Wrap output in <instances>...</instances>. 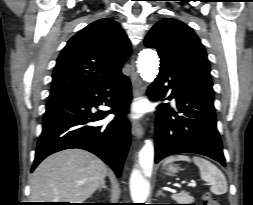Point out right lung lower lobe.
<instances>
[{"mask_svg":"<svg viewBox=\"0 0 253 205\" xmlns=\"http://www.w3.org/2000/svg\"><path fill=\"white\" fill-rule=\"evenodd\" d=\"M130 102L131 84L123 74L95 88L49 98L32 171L54 152L80 148L100 157L120 177L131 139L124 118ZM102 103L112 109L93 114L91 107ZM111 113L114 120L96 123Z\"/></svg>","mask_w":253,"mask_h":205,"instance_id":"1","label":"right lung lower lobe"}]
</instances>
